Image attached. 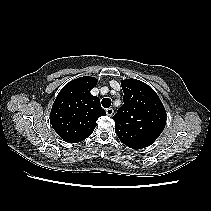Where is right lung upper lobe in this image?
I'll return each mask as SVG.
<instances>
[{
  "mask_svg": "<svg viewBox=\"0 0 211 211\" xmlns=\"http://www.w3.org/2000/svg\"><path fill=\"white\" fill-rule=\"evenodd\" d=\"M97 82L94 77H80L67 83L57 95L50 123L64 141L78 143L85 140L96 127V120L106 115L100 99L90 93Z\"/></svg>",
  "mask_w": 211,
  "mask_h": 211,
  "instance_id": "1",
  "label": "right lung upper lobe"
}]
</instances>
